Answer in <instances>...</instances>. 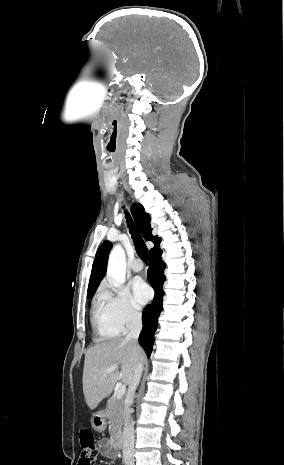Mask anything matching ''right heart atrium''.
Wrapping results in <instances>:
<instances>
[{
  "mask_svg": "<svg viewBox=\"0 0 284 465\" xmlns=\"http://www.w3.org/2000/svg\"><path fill=\"white\" fill-rule=\"evenodd\" d=\"M97 301L105 304L115 323L123 331L130 330L141 321L142 311L130 302L122 288L103 285L97 294Z\"/></svg>",
  "mask_w": 284,
  "mask_h": 465,
  "instance_id": "1",
  "label": "right heart atrium"
}]
</instances>
